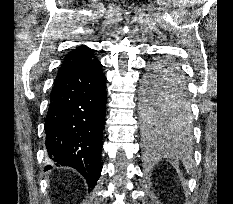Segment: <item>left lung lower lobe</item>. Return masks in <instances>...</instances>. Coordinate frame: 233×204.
Here are the masks:
<instances>
[{
	"label": "left lung lower lobe",
	"mask_w": 233,
	"mask_h": 204,
	"mask_svg": "<svg viewBox=\"0 0 233 204\" xmlns=\"http://www.w3.org/2000/svg\"><path fill=\"white\" fill-rule=\"evenodd\" d=\"M175 66L169 67L167 69H164L161 73H160V77L158 78V81L160 83H164L166 85H169L170 87L173 88H177L178 86H180L181 82H185V79L182 75V72L180 70L176 71L175 70ZM144 130L147 133H151L153 131H178L174 128H166V127H145L144 126Z\"/></svg>",
	"instance_id": "left-lung-lower-lobe-1"
}]
</instances>
